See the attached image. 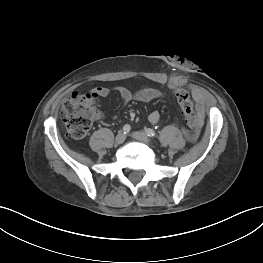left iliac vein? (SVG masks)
I'll list each match as a JSON object with an SVG mask.
<instances>
[{"mask_svg": "<svg viewBox=\"0 0 263 263\" xmlns=\"http://www.w3.org/2000/svg\"><path fill=\"white\" fill-rule=\"evenodd\" d=\"M131 136L134 139H136V140H138V141H140L142 143H145V144H148V145L151 143L150 138L144 132L136 131V132H133L131 134Z\"/></svg>", "mask_w": 263, "mask_h": 263, "instance_id": "left-iliac-vein-1", "label": "left iliac vein"}]
</instances>
